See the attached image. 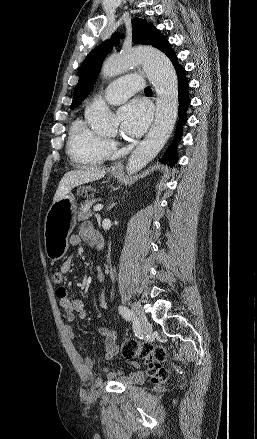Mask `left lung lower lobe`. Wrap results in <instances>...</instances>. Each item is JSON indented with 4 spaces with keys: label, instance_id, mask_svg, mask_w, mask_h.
Wrapping results in <instances>:
<instances>
[{
    "label": "left lung lower lobe",
    "instance_id": "obj_1",
    "mask_svg": "<svg viewBox=\"0 0 257 439\" xmlns=\"http://www.w3.org/2000/svg\"><path fill=\"white\" fill-rule=\"evenodd\" d=\"M164 53L171 60L177 72L179 89V121L177 123L174 140L168 150L163 155L162 159H160L159 161L162 163H165L167 161L172 166L178 160L176 147L178 142L181 140L183 125L187 121L186 110L188 105L190 104V99L188 94V80L185 75V69L178 64L176 54L174 53L170 45L165 49Z\"/></svg>",
    "mask_w": 257,
    "mask_h": 439
}]
</instances>
